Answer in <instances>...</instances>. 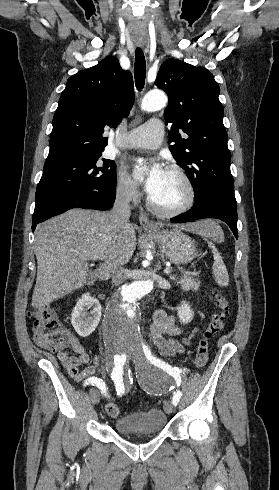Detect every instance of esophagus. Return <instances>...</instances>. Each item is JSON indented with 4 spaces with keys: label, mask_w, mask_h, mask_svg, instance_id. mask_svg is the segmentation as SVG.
I'll use <instances>...</instances> for the list:
<instances>
[{
    "label": "esophagus",
    "mask_w": 279,
    "mask_h": 490,
    "mask_svg": "<svg viewBox=\"0 0 279 490\" xmlns=\"http://www.w3.org/2000/svg\"><path fill=\"white\" fill-rule=\"evenodd\" d=\"M139 223L143 228H148V229H152V230H155L158 228V225L155 222H152L151 220H149L148 217L145 215V213H140Z\"/></svg>",
    "instance_id": "esophagus-1"
}]
</instances>
